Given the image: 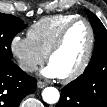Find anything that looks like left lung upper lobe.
<instances>
[{"instance_id":"left-lung-upper-lobe-1","label":"left lung upper lobe","mask_w":107,"mask_h":107,"mask_svg":"<svg viewBox=\"0 0 107 107\" xmlns=\"http://www.w3.org/2000/svg\"><path fill=\"white\" fill-rule=\"evenodd\" d=\"M86 13L94 29L96 41L95 48L92 59L85 69L84 73L73 82L76 84H84L87 86L85 89H88L94 77L96 66H98L99 55L101 52L103 53L107 63V30L103 26L101 21L92 12L86 10Z\"/></svg>"}]
</instances>
